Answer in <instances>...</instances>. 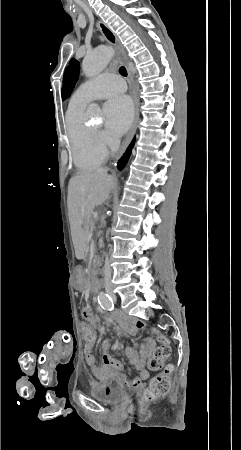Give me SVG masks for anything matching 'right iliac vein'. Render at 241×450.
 <instances>
[{"label":"right iliac vein","instance_id":"right-iliac-vein-1","mask_svg":"<svg viewBox=\"0 0 241 450\" xmlns=\"http://www.w3.org/2000/svg\"><path fill=\"white\" fill-rule=\"evenodd\" d=\"M108 293H109L111 296L114 297V294H113V292H112L111 290H109Z\"/></svg>","mask_w":241,"mask_h":450}]
</instances>
